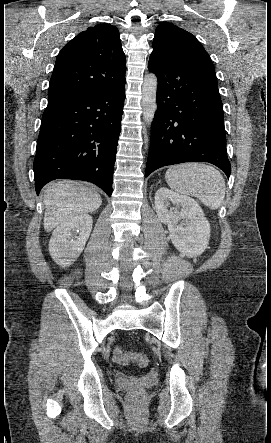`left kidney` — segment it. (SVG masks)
<instances>
[{"instance_id":"obj_1","label":"left kidney","mask_w":271,"mask_h":443,"mask_svg":"<svg viewBox=\"0 0 271 443\" xmlns=\"http://www.w3.org/2000/svg\"><path fill=\"white\" fill-rule=\"evenodd\" d=\"M154 204L158 220L167 223L169 237L176 249L189 257L201 255L209 243L210 223L204 218L199 204L193 198L179 196L167 188L157 190Z\"/></svg>"}]
</instances>
